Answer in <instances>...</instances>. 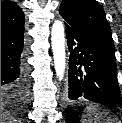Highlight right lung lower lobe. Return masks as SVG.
<instances>
[{
  "instance_id": "1",
  "label": "right lung lower lobe",
  "mask_w": 122,
  "mask_h": 123,
  "mask_svg": "<svg viewBox=\"0 0 122 123\" xmlns=\"http://www.w3.org/2000/svg\"><path fill=\"white\" fill-rule=\"evenodd\" d=\"M27 42L24 28L1 27V96L14 95L21 103L28 86Z\"/></svg>"
}]
</instances>
